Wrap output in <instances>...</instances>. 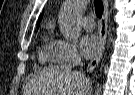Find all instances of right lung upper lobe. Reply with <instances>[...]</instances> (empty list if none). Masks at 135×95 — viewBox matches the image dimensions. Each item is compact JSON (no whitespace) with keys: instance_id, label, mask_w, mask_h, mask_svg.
<instances>
[{"instance_id":"cb5924a9","label":"right lung upper lobe","mask_w":135,"mask_h":95,"mask_svg":"<svg viewBox=\"0 0 135 95\" xmlns=\"http://www.w3.org/2000/svg\"><path fill=\"white\" fill-rule=\"evenodd\" d=\"M42 16H43V14L41 15V17H40V19H39V21H38V26H39V22H40V20H41Z\"/></svg>"}]
</instances>
